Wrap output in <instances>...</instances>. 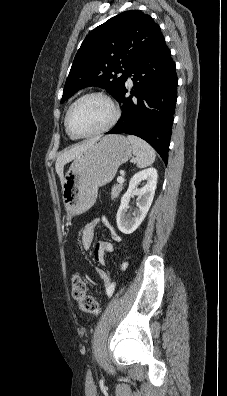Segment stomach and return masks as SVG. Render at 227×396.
Returning <instances> with one entry per match:
<instances>
[{
	"mask_svg": "<svg viewBox=\"0 0 227 396\" xmlns=\"http://www.w3.org/2000/svg\"><path fill=\"white\" fill-rule=\"evenodd\" d=\"M132 151L127 138L109 135L98 139L75 158L62 184L69 216L82 214L94 205L98 188L113 180L119 166L131 158Z\"/></svg>",
	"mask_w": 227,
	"mask_h": 396,
	"instance_id": "1",
	"label": "stomach"
}]
</instances>
